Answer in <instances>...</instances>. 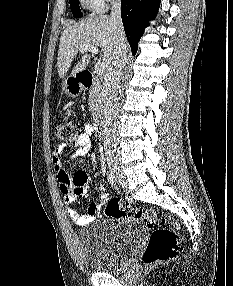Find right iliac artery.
Masks as SVG:
<instances>
[{"label": "right iliac artery", "mask_w": 233, "mask_h": 286, "mask_svg": "<svg viewBox=\"0 0 233 286\" xmlns=\"http://www.w3.org/2000/svg\"><path fill=\"white\" fill-rule=\"evenodd\" d=\"M107 179L112 186H116V178L112 172H108Z\"/></svg>", "instance_id": "1"}]
</instances>
